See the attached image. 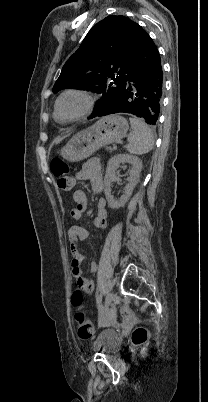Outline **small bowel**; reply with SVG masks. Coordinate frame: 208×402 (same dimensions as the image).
<instances>
[{
  "mask_svg": "<svg viewBox=\"0 0 208 402\" xmlns=\"http://www.w3.org/2000/svg\"><path fill=\"white\" fill-rule=\"evenodd\" d=\"M76 179L79 181H89L92 190L96 193H100L103 189V174L100 161L96 158L87 161L82 169L76 173ZM73 200L76 203V208L72 210L71 217L74 220H78L87 209L86 192L82 189L76 190L73 193ZM93 224L98 229H104L107 227L108 212L106 209V202L103 198L99 199L97 202V216L95 217ZM87 236V230L81 226H72L68 231V239L72 243V246L78 240H85ZM71 256L74 278L86 292H92L94 290V283L82 275L81 253L77 249H73ZM91 269L92 271L97 270V264L95 262L91 264Z\"/></svg>",
  "mask_w": 208,
  "mask_h": 402,
  "instance_id": "1",
  "label": "small bowel"
}]
</instances>
